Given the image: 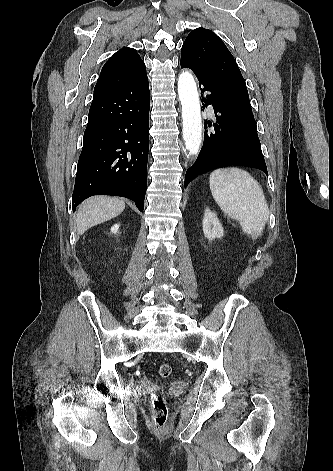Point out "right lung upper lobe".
Instances as JSON below:
<instances>
[{"mask_svg": "<svg viewBox=\"0 0 333 471\" xmlns=\"http://www.w3.org/2000/svg\"><path fill=\"white\" fill-rule=\"evenodd\" d=\"M145 74V64L136 50L124 47L103 66L93 99L122 91Z\"/></svg>", "mask_w": 333, "mask_h": 471, "instance_id": "cb5924a9", "label": "right lung upper lobe"}]
</instances>
